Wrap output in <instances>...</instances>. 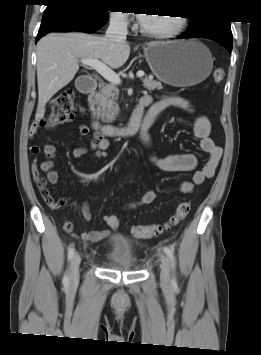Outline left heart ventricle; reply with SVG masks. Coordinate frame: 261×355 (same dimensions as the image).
Here are the masks:
<instances>
[{"label": "left heart ventricle", "mask_w": 261, "mask_h": 355, "mask_svg": "<svg viewBox=\"0 0 261 355\" xmlns=\"http://www.w3.org/2000/svg\"><path fill=\"white\" fill-rule=\"evenodd\" d=\"M177 18L175 16L149 14L142 22V26L151 31H169L176 27Z\"/></svg>", "instance_id": "1"}]
</instances>
